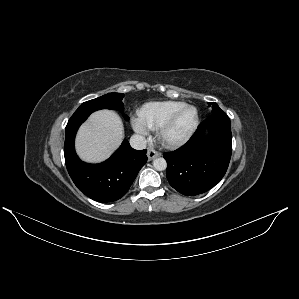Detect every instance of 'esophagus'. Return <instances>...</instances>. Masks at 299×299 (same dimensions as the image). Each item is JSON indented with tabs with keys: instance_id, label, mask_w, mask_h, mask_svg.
I'll list each match as a JSON object with an SVG mask.
<instances>
[{
	"instance_id": "34e87169",
	"label": "esophagus",
	"mask_w": 299,
	"mask_h": 299,
	"mask_svg": "<svg viewBox=\"0 0 299 299\" xmlns=\"http://www.w3.org/2000/svg\"><path fill=\"white\" fill-rule=\"evenodd\" d=\"M160 156V153L158 151H156L155 149H148L147 151V157H148V160L151 161L153 160L154 158Z\"/></svg>"
}]
</instances>
